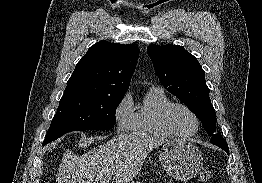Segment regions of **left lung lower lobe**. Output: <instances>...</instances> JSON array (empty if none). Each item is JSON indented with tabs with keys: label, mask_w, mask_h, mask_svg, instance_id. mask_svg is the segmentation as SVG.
I'll return each instance as SVG.
<instances>
[{
	"label": "left lung lower lobe",
	"mask_w": 262,
	"mask_h": 183,
	"mask_svg": "<svg viewBox=\"0 0 262 183\" xmlns=\"http://www.w3.org/2000/svg\"><path fill=\"white\" fill-rule=\"evenodd\" d=\"M219 146L220 148H222L223 150H225V152L229 155V148H228V145H217Z\"/></svg>",
	"instance_id": "left-lung-lower-lobe-1"
}]
</instances>
